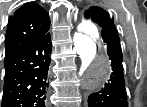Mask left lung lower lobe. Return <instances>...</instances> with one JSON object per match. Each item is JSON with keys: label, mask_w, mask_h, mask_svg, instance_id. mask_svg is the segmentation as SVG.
Returning a JSON list of instances; mask_svg holds the SVG:
<instances>
[{"label": "left lung lower lobe", "mask_w": 147, "mask_h": 107, "mask_svg": "<svg viewBox=\"0 0 147 107\" xmlns=\"http://www.w3.org/2000/svg\"><path fill=\"white\" fill-rule=\"evenodd\" d=\"M106 45L112 73L105 84L88 97V107H128L125 80L123 74V56L116 28L100 29Z\"/></svg>", "instance_id": "0a47b994"}]
</instances>
